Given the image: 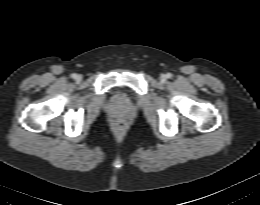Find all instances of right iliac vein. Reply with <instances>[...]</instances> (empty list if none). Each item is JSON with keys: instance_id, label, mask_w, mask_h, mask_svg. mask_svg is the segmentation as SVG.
Returning <instances> with one entry per match:
<instances>
[{"instance_id": "63e3f726", "label": "right iliac vein", "mask_w": 260, "mask_h": 205, "mask_svg": "<svg viewBox=\"0 0 260 205\" xmlns=\"http://www.w3.org/2000/svg\"><path fill=\"white\" fill-rule=\"evenodd\" d=\"M76 80L77 81H81L82 80V76L81 75H77Z\"/></svg>"}]
</instances>
